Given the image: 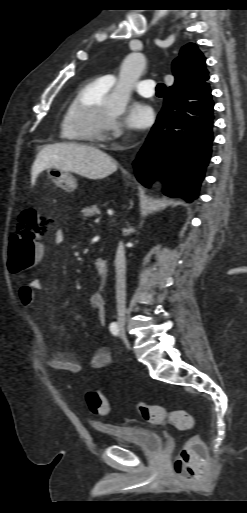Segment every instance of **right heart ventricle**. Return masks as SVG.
Masks as SVG:
<instances>
[{"label": "right heart ventricle", "instance_id": "e07e8e85", "mask_svg": "<svg viewBox=\"0 0 247 513\" xmlns=\"http://www.w3.org/2000/svg\"><path fill=\"white\" fill-rule=\"evenodd\" d=\"M110 88L100 78L87 80L79 86L61 120V137L64 140L90 144L101 139L83 125L87 116L105 106V98Z\"/></svg>", "mask_w": 247, "mask_h": 513}]
</instances>
